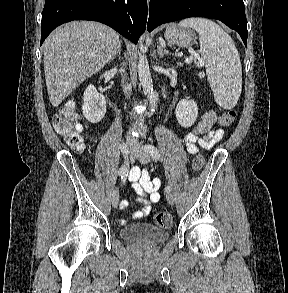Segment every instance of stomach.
I'll return each mask as SVG.
<instances>
[{"label": "stomach", "mask_w": 288, "mask_h": 293, "mask_svg": "<svg viewBox=\"0 0 288 293\" xmlns=\"http://www.w3.org/2000/svg\"><path fill=\"white\" fill-rule=\"evenodd\" d=\"M165 38L169 43L180 47H188L196 40L195 33L191 29L177 27L176 25L166 29Z\"/></svg>", "instance_id": "1"}]
</instances>
